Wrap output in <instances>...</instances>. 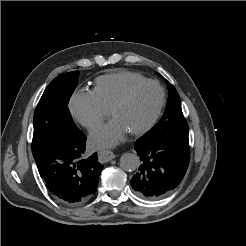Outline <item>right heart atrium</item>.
Here are the masks:
<instances>
[{
	"instance_id": "obj_1",
	"label": "right heart atrium",
	"mask_w": 246,
	"mask_h": 246,
	"mask_svg": "<svg viewBox=\"0 0 246 246\" xmlns=\"http://www.w3.org/2000/svg\"><path fill=\"white\" fill-rule=\"evenodd\" d=\"M68 108L73 119L89 130L98 127L108 115V111L99 105L92 92L86 90L73 93Z\"/></svg>"
}]
</instances>
